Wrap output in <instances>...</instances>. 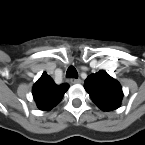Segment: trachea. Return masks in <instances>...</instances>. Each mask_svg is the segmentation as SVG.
I'll return each mask as SVG.
<instances>
[{"mask_svg": "<svg viewBox=\"0 0 145 145\" xmlns=\"http://www.w3.org/2000/svg\"><path fill=\"white\" fill-rule=\"evenodd\" d=\"M66 77H68V78H76V79L78 78V72H77V70L75 69V67L70 66V67L67 69Z\"/></svg>", "mask_w": 145, "mask_h": 145, "instance_id": "3493384b", "label": "trachea"}]
</instances>
